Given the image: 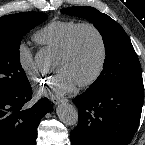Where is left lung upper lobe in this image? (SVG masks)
<instances>
[{
    "mask_svg": "<svg viewBox=\"0 0 145 145\" xmlns=\"http://www.w3.org/2000/svg\"><path fill=\"white\" fill-rule=\"evenodd\" d=\"M62 13L92 22L102 35L106 50L103 70L88 91H101L115 86L143 82L138 56L123 28L108 15L89 6H75Z\"/></svg>",
    "mask_w": 145,
    "mask_h": 145,
    "instance_id": "5c2ea615",
    "label": "left lung upper lobe"
}]
</instances>
